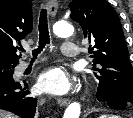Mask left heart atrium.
I'll use <instances>...</instances> for the list:
<instances>
[{"instance_id":"1","label":"left heart atrium","mask_w":133,"mask_h":118,"mask_svg":"<svg viewBox=\"0 0 133 118\" xmlns=\"http://www.w3.org/2000/svg\"><path fill=\"white\" fill-rule=\"evenodd\" d=\"M37 87L43 93L63 95L72 88V80L64 69L53 67L39 76Z\"/></svg>"}]
</instances>
